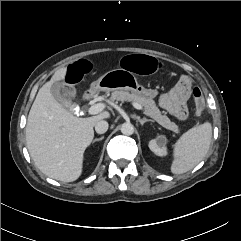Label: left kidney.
Instances as JSON below:
<instances>
[{
    "instance_id": "5707ae66",
    "label": "left kidney",
    "mask_w": 241,
    "mask_h": 241,
    "mask_svg": "<svg viewBox=\"0 0 241 241\" xmlns=\"http://www.w3.org/2000/svg\"><path fill=\"white\" fill-rule=\"evenodd\" d=\"M166 137L161 135L149 142V148L157 156H165L167 154Z\"/></svg>"
}]
</instances>
